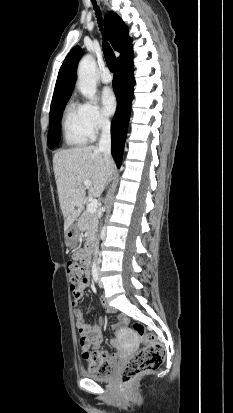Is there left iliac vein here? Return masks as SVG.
<instances>
[{"label":"left iliac vein","instance_id":"left-iliac-vein-1","mask_svg":"<svg viewBox=\"0 0 233 413\" xmlns=\"http://www.w3.org/2000/svg\"><path fill=\"white\" fill-rule=\"evenodd\" d=\"M98 275H99V287H101L102 288V282L100 281V277H101V271L99 270L98 271Z\"/></svg>","mask_w":233,"mask_h":413}]
</instances>
